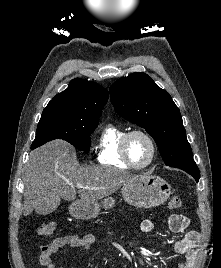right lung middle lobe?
Instances as JSON below:
<instances>
[{
    "mask_svg": "<svg viewBox=\"0 0 221 268\" xmlns=\"http://www.w3.org/2000/svg\"><path fill=\"white\" fill-rule=\"evenodd\" d=\"M99 120H87L61 112H43L37 126L35 140L31 149H35L53 139H63L76 148L90 151V135Z\"/></svg>",
    "mask_w": 221,
    "mask_h": 268,
    "instance_id": "obj_1",
    "label": "right lung middle lobe"
}]
</instances>
